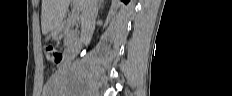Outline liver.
Returning <instances> with one entry per match:
<instances>
[{
  "instance_id": "6515ba94",
  "label": "liver",
  "mask_w": 232,
  "mask_h": 96,
  "mask_svg": "<svg viewBox=\"0 0 232 96\" xmlns=\"http://www.w3.org/2000/svg\"><path fill=\"white\" fill-rule=\"evenodd\" d=\"M70 0H42L41 27L42 33L54 31L63 20ZM81 10L82 0H78Z\"/></svg>"
}]
</instances>
